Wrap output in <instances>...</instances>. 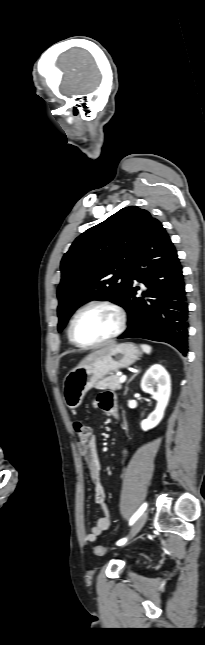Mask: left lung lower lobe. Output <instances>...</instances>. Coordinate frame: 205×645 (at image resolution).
Instances as JSON below:
<instances>
[{
    "instance_id": "obj_1",
    "label": "left lung lower lobe",
    "mask_w": 205,
    "mask_h": 645,
    "mask_svg": "<svg viewBox=\"0 0 205 645\" xmlns=\"http://www.w3.org/2000/svg\"><path fill=\"white\" fill-rule=\"evenodd\" d=\"M177 251L162 224L153 219L137 246L130 285L122 307L128 328L119 339L136 337L166 342L184 356L188 352V303ZM148 289L136 297L133 280Z\"/></svg>"
}]
</instances>
